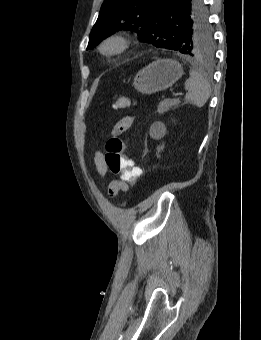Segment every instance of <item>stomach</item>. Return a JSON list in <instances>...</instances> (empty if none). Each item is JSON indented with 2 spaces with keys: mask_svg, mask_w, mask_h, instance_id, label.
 Listing matches in <instances>:
<instances>
[{
  "mask_svg": "<svg viewBox=\"0 0 261 340\" xmlns=\"http://www.w3.org/2000/svg\"><path fill=\"white\" fill-rule=\"evenodd\" d=\"M183 75L182 65L172 59H158L140 70L133 81L142 94H152L171 87Z\"/></svg>",
  "mask_w": 261,
  "mask_h": 340,
  "instance_id": "1",
  "label": "stomach"
}]
</instances>
